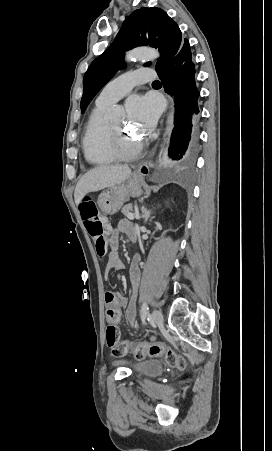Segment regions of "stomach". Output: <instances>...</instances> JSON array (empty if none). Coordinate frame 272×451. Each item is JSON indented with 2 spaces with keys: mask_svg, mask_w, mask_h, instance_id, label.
<instances>
[{
  "mask_svg": "<svg viewBox=\"0 0 272 451\" xmlns=\"http://www.w3.org/2000/svg\"><path fill=\"white\" fill-rule=\"evenodd\" d=\"M141 182H143V178H135V174H133L125 184L121 182V184H115V186H111L108 190L101 192L97 202L101 212L112 216V214H116L122 208L124 202H127L130 196L132 198L141 196L143 194L140 186Z\"/></svg>",
  "mask_w": 272,
  "mask_h": 451,
  "instance_id": "obj_1",
  "label": "stomach"
}]
</instances>
